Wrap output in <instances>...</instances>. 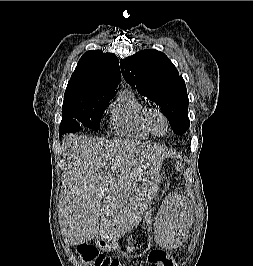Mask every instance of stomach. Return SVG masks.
<instances>
[{
	"mask_svg": "<svg viewBox=\"0 0 253 266\" xmlns=\"http://www.w3.org/2000/svg\"><path fill=\"white\" fill-rule=\"evenodd\" d=\"M151 230V221L148 216H144L140 224L138 223L131 230L117 238L105 239L100 237L97 241V245L102 250H117L126 258H138L144 255L151 247Z\"/></svg>",
	"mask_w": 253,
	"mask_h": 266,
	"instance_id": "0dacf381",
	"label": "stomach"
}]
</instances>
